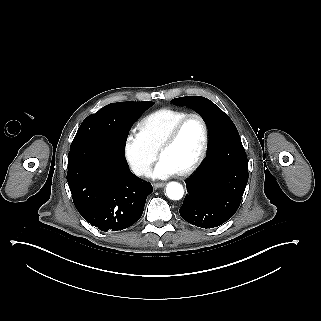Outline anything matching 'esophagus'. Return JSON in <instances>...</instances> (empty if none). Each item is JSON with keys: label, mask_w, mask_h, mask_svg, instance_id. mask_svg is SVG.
<instances>
[{"label": "esophagus", "mask_w": 321, "mask_h": 321, "mask_svg": "<svg viewBox=\"0 0 321 321\" xmlns=\"http://www.w3.org/2000/svg\"><path fill=\"white\" fill-rule=\"evenodd\" d=\"M165 184L166 183H164V182L154 183V187L155 188H161V187L165 186Z\"/></svg>", "instance_id": "esophagus-1"}]
</instances>
